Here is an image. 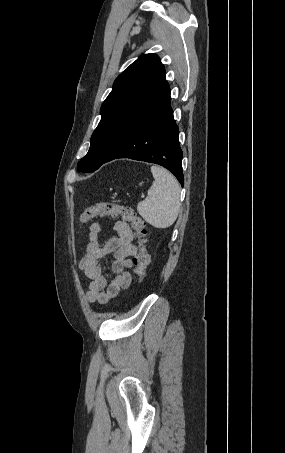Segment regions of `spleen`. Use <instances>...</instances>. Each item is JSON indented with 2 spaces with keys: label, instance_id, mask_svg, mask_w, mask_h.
<instances>
[{
  "label": "spleen",
  "instance_id": "obj_1",
  "mask_svg": "<svg viewBox=\"0 0 285 453\" xmlns=\"http://www.w3.org/2000/svg\"><path fill=\"white\" fill-rule=\"evenodd\" d=\"M154 181L147 197L137 205L140 216L155 228L171 226L180 211V186L177 179L165 168L153 165Z\"/></svg>",
  "mask_w": 285,
  "mask_h": 453
}]
</instances>
